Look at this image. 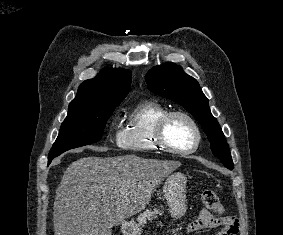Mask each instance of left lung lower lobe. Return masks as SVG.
Segmentation results:
<instances>
[{"instance_id": "1", "label": "left lung lower lobe", "mask_w": 283, "mask_h": 235, "mask_svg": "<svg viewBox=\"0 0 283 235\" xmlns=\"http://www.w3.org/2000/svg\"><path fill=\"white\" fill-rule=\"evenodd\" d=\"M221 162L224 164V166H225L226 168H228V169H230V170H232V169L234 168V164H233L232 161H231V162L221 161Z\"/></svg>"}]
</instances>
